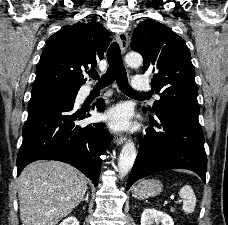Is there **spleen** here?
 Instances as JSON below:
<instances>
[{"label": "spleen", "instance_id": "obj_1", "mask_svg": "<svg viewBox=\"0 0 228 225\" xmlns=\"http://www.w3.org/2000/svg\"><path fill=\"white\" fill-rule=\"evenodd\" d=\"M179 197L182 199L183 213H186V215L193 213L196 207V197L192 187L190 185H184L179 191Z\"/></svg>", "mask_w": 228, "mask_h": 225}]
</instances>
